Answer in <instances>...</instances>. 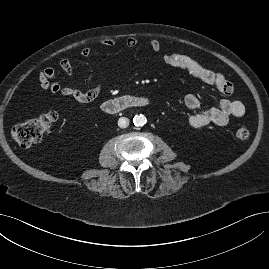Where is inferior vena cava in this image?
<instances>
[{
	"instance_id": "602c4592",
	"label": "inferior vena cava",
	"mask_w": 269,
	"mask_h": 269,
	"mask_svg": "<svg viewBox=\"0 0 269 269\" xmlns=\"http://www.w3.org/2000/svg\"><path fill=\"white\" fill-rule=\"evenodd\" d=\"M128 125H129V119L128 118H126V117L119 118L118 126L120 128H126V127H128Z\"/></svg>"
}]
</instances>
